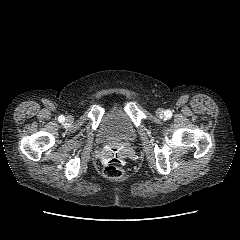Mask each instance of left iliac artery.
I'll return each mask as SVG.
<instances>
[{
	"label": "left iliac artery",
	"instance_id": "1",
	"mask_svg": "<svg viewBox=\"0 0 240 240\" xmlns=\"http://www.w3.org/2000/svg\"><path fill=\"white\" fill-rule=\"evenodd\" d=\"M164 115L167 117V118H170L172 116V112L170 110H167Z\"/></svg>",
	"mask_w": 240,
	"mask_h": 240
}]
</instances>
